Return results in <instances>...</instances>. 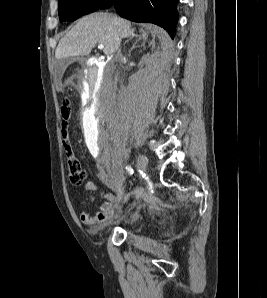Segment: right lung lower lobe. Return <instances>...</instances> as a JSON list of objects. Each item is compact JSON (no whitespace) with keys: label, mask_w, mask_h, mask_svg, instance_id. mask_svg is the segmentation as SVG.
<instances>
[{"label":"right lung lower lobe","mask_w":267,"mask_h":298,"mask_svg":"<svg viewBox=\"0 0 267 298\" xmlns=\"http://www.w3.org/2000/svg\"><path fill=\"white\" fill-rule=\"evenodd\" d=\"M177 2L178 0H106L98 9L114 5L121 17L135 22L157 24L174 38L178 21Z\"/></svg>","instance_id":"obj_1"}]
</instances>
